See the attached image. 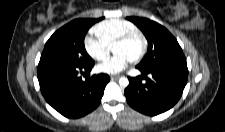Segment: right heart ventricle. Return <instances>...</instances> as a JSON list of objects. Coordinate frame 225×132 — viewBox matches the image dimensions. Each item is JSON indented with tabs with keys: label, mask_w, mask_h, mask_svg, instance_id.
<instances>
[{
	"label": "right heart ventricle",
	"mask_w": 225,
	"mask_h": 132,
	"mask_svg": "<svg viewBox=\"0 0 225 132\" xmlns=\"http://www.w3.org/2000/svg\"><path fill=\"white\" fill-rule=\"evenodd\" d=\"M132 30H137V26L124 19L106 20L94 28L97 37L110 48L120 36Z\"/></svg>",
	"instance_id": "right-heart-ventricle-1"
}]
</instances>
